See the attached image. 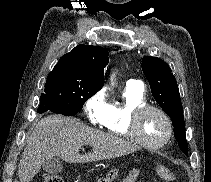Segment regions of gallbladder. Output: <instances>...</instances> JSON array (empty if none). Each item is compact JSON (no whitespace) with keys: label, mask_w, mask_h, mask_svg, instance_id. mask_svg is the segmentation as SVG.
Segmentation results:
<instances>
[{"label":"gallbladder","mask_w":211,"mask_h":182,"mask_svg":"<svg viewBox=\"0 0 211 182\" xmlns=\"http://www.w3.org/2000/svg\"><path fill=\"white\" fill-rule=\"evenodd\" d=\"M43 169L48 173V174H58L62 170V163L58 157H51L48 158L44 163H43Z\"/></svg>","instance_id":"obj_1"}]
</instances>
